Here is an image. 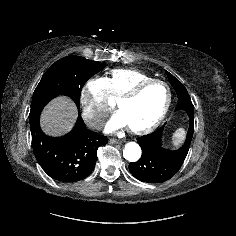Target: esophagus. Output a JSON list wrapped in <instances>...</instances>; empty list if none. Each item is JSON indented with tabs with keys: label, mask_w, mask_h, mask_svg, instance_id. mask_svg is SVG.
<instances>
[{
	"label": "esophagus",
	"mask_w": 236,
	"mask_h": 236,
	"mask_svg": "<svg viewBox=\"0 0 236 236\" xmlns=\"http://www.w3.org/2000/svg\"><path fill=\"white\" fill-rule=\"evenodd\" d=\"M109 142H110L111 144H117V143H120L121 141L118 140V139H115V138H110V139H109Z\"/></svg>",
	"instance_id": "1"
}]
</instances>
